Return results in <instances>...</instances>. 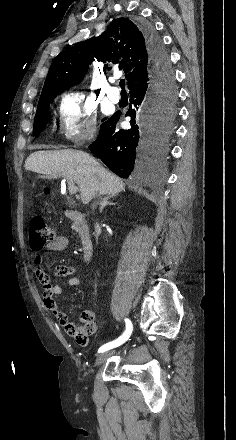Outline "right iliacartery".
I'll return each instance as SVG.
<instances>
[{"mask_svg":"<svg viewBox=\"0 0 236 440\" xmlns=\"http://www.w3.org/2000/svg\"><path fill=\"white\" fill-rule=\"evenodd\" d=\"M126 322V330L125 332L116 340L106 343L105 345L101 346L98 350L99 353L108 351L112 348H115L121 344H123L131 335L132 330H133V326L132 323L129 319H125Z\"/></svg>","mask_w":236,"mask_h":440,"instance_id":"82829eb1","label":"right iliac artery"}]
</instances>
